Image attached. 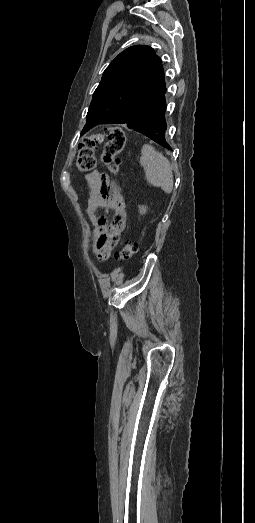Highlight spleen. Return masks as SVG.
Here are the masks:
<instances>
[{
  "label": "spleen",
  "instance_id": "3e777b00",
  "mask_svg": "<svg viewBox=\"0 0 255 523\" xmlns=\"http://www.w3.org/2000/svg\"><path fill=\"white\" fill-rule=\"evenodd\" d=\"M141 154L140 164L145 170L147 182L152 186H159L165 194H171L173 174L169 160L149 144L142 146Z\"/></svg>",
  "mask_w": 255,
  "mask_h": 523
}]
</instances>
